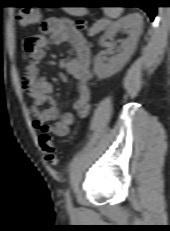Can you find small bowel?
Returning a JSON list of instances; mask_svg holds the SVG:
<instances>
[{
  "label": "small bowel",
  "mask_w": 170,
  "mask_h": 231,
  "mask_svg": "<svg viewBox=\"0 0 170 231\" xmlns=\"http://www.w3.org/2000/svg\"><path fill=\"white\" fill-rule=\"evenodd\" d=\"M43 33L49 35L54 44L69 43L75 57L62 62V68L78 81V97L73 103V109L77 116L85 118L91 110L92 73L90 70L91 51L88 42L82 32L71 20L63 18H48L41 26ZM36 49L31 52L28 63L24 69L23 88L31 98L30 112L34 118L33 125L43 133H53L59 137L69 134L70 127L75 122V116L71 112L59 115L53 97L51 83L39 73V64L46 55L47 39L43 36H35ZM65 80V76L61 75ZM48 104V106H45ZM53 121L52 124H48Z\"/></svg>",
  "instance_id": "obj_1"
}]
</instances>
